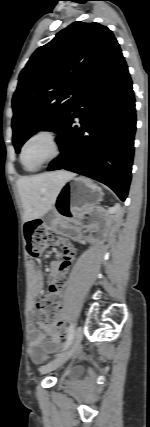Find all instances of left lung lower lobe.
<instances>
[{
    "label": "left lung lower lobe",
    "mask_w": 150,
    "mask_h": 427,
    "mask_svg": "<svg viewBox=\"0 0 150 427\" xmlns=\"http://www.w3.org/2000/svg\"><path fill=\"white\" fill-rule=\"evenodd\" d=\"M135 130L132 81L119 48L91 76L56 131L61 155L47 170L66 169L95 179L124 201L131 181Z\"/></svg>",
    "instance_id": "0a47b994"
}]
</instances>
